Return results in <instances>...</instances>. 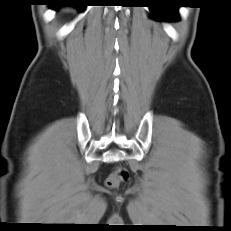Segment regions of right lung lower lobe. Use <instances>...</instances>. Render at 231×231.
Returning <instances> with one entry per match:
<instances>
[{
	"mask_svg": "<svg viewBox=\"0 0 231 231\" xmlns=\"http://www.w3.org/2000/svg\"><path fill=\"white\" fill-rule=\"evenodd\" d=\"M60 6H75L82 11L87 5L85 0H51L50 7L57 9Z\"/></svg>",
	"mask_w": 231,
	"mask_h": 231,
	"instance_id": "98d812e1",
	"label": "right lung lower lobe"
}]
</instances>
